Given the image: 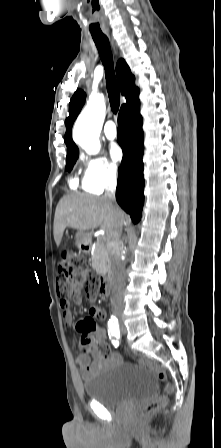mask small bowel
Instances as JSON below:
<instances>
[{"label": "small bowel", "mask_w": 221, "mask_h": 448, "mask_svg": "<svg viewBox=\"0 0 221 448\" xmlns=\"http://www.w3.org/2000/svg\"><path fill=\"white\" fill-rule=\"evenodd\" d=\"M87 280L85 273H80L75 284L61 293L60 306L63 310V319L66 324L73 325L74 317L71 310V301L77 305L82 304L81 286ZM104 310L100 306H94L90 309V317L84 318L79 322L80 341L79 345L83 353L75 355V362L78 365L83 378L90 373L97 371L110 362H120L121 354L112 353L107 342L105 331L95 323L94 317H103ZM92 322L94 328L91 331L85 330L83 324ZM90 332L94 333V338Z\"/></svg>", "instance_id": "c3829d8e"}]
</instances>
